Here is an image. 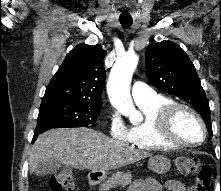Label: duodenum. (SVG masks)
<instances>
[{
    "label": "duodenum",
    "mask_w": 221,
    "mask_h": 191,
    "mask_svg": "<svg viewBox=\"0 0 221 191\" xmlns=\"http://www.w3.org/2000/svg\"><path fill=\"white\" fill-rule=\"evenodd\" d=\"M97 181V176L95 175V174H90L89 176H88V182L90 183V184H92V183H94V182H96Z\"/></svg>",
    "instance_id": "obj_1"
}]
</instances>
